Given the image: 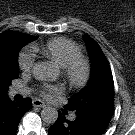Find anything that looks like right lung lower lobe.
Returning <instances> with one entry per match:
<instances>
[{"label": "right lung lower lobe", "instance_id": "right-lung-lower-lobe-1", "mask_svg": "<svg viewBox=\"0 0 135 135\" xmlns=\"http://www.w3.org/2000/svg\"><path fill=\"white\" fill-rule=\"evenodd\" d=\"M32 108V100L11 101L7 94L0 95V135H15L21 117Z\"/></svg>", "mask_w": 135, "mask_h": 135}]
</instances>
